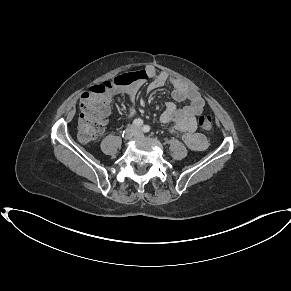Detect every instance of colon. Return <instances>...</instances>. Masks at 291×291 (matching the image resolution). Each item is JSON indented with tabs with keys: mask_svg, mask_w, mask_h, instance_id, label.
Returning a JSON list of instances; mask_svg holds the SVG:
<instances>
[{
	"mask_svg": "<svg viewBox=\"0 0 291 291\" xmlns=\"http://www.w3.org/2000/svg\"><path fill=\"white\" fill-rule=\"evenodd\" d=\"M137 79L138 73L120 75L112 81L93 85L90 91L82 95L78 121V139L82 143H90L96 140L103 132L104 124L109 114V102L105 95L113 87H124ZM198 124L205 133H209L213 129V120L210 115H201L198 118Z\"/></svg>",
	"mask_w": 291,
	"mask_h": 291,
	"instance_id": "colon-1",
	"label": "colon"
}]
</instances>
